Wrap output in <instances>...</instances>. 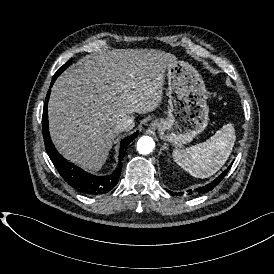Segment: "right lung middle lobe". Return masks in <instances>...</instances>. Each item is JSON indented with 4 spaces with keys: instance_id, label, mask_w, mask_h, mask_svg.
I'll return each instance as SVG.
<instances>
[{
    "instance_id": "obj_1",
    "label": "right lung middle lobe",
    "mask_w": 274,
    "mask_h": 274,
    "mask_svg": "<svg viewBox=\"0 0 274 274\" xmlns=\"http://www.w3.org/2000/svg\"><path fill=\"white\" fill-rule=\"evenodd\" d=\"M70 65V61L66 62L55 74V76L60 75L68 66Z\"/></svg>"
}]
</instances>
